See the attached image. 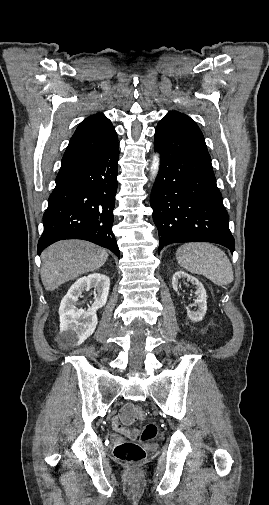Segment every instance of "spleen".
Returning a JSON list of instances; mask_svg holds the SVG:
<instances>
[{
	"label": "spleen",
	"mask_w": 269,
	"mask_h": 505,
	"mask_svg": "<svg viewBox=\"0 0 269 505\" xmlns=\"http://www.w3.org/2000/svg\"><path fill=\"white\" fill-rule=\"evenodd\" d=\"M176 258L182 268L193 274L204 275L218 286H225L234 280L229 258L213 244L185 243L177 249Z\"/></svg>",
	"instance_id": "spleen-1"
}]
</instances>
